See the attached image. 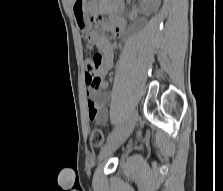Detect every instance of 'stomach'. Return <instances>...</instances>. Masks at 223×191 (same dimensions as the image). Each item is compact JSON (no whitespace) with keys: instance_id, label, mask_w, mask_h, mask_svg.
Here are the masks:
<instances>
[{"instance_id":"obj_1","label":"stomach","mask_w":223,"mask_h":191,"mask_svg":"<svg viewBox=\"0 0 223 191\" xmlns=\"http://www.w3.org/2000/svg\"><path fill=\"white\" fill-rule=\"evenodd\" d=\"M72 12L77 27L82 32H88L91 29V23L88 13L87 0H74L72 3Z\"/></svg>"}]
</instances>
